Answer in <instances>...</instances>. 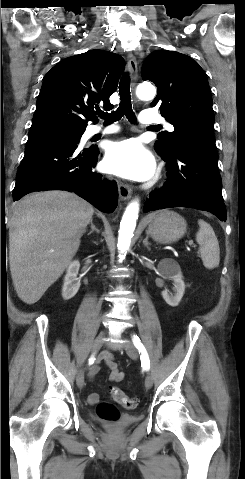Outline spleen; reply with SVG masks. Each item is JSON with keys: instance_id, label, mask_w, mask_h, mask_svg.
<instances>
[{"instance_id": "3e777b00", "label": "spleen", "mask_w": 245, "mask_h": 479, "mask_svg": "<svg viewBox=\"0 0 245 479\" xmlns=\"http://www.w3.org/2000/svg\"><path fill=\"white\" fill-rule=\"evenodd\" d=\"M199 231L196 241L200 245V257L207 269L216 268L220 262L219 242L211 225L202 219L198 220Z\"/></svg>"}]
</instances>
